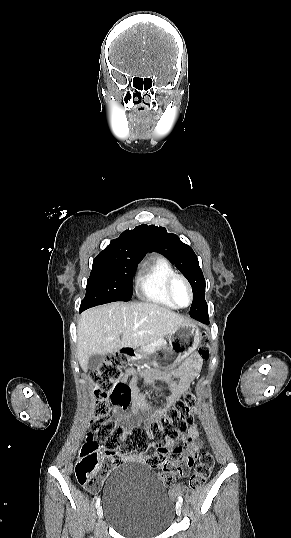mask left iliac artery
<instances>
[{
	"instance_id": "obj_1",
	"label": "left iliac artery",
	"mask_w": 291,
	"mask_h": 538,
	"mask_svg": "<svg viewBox=\"0 0 291 538\" xmlns=\"http://www.w3.org/2000/svg\"><path fill=\"white\" fill-rule=\"evenodd\" d=\"M178 501H179L181 504L183 503V498H182L181 495L178 497Z\"/></svg>"
}]
</instances>
